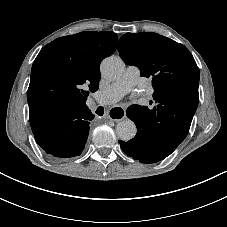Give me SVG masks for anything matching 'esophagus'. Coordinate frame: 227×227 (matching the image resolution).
<instances>
[{
	"instance_id": "obj_1",
	"label": "esophagus",
	"mask_w": 227,
	"mask_h": 227,
	"mask_svg": "<svg viewBox=\"0 0 227 227\" xmlns=\"http://www.w3.org/2000/svg\"><path fill=\"white\" fill-rule=\"evenodd\" d=\"M107 116L111 120L121 121L126 116L125 109L120 106H114L108 110Z\"/></svg>"
}]
</instances>
